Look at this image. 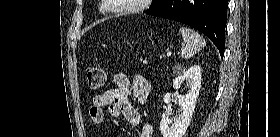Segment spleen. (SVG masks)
<instances>
[{"instance_id": "3e777b00", "label": "spleen", "mask_w": 280, "mask_h": 137, "mask_svg": "<svg viewBox=\"0 0 280 137\" xmlns=\"http://www.w3.org/2000/svg\"><path fill=\"white\" fill-rule=\"evenodd\" d=\"M179 31L184 40V45L181 48L182 58L188 59L192 57L206 45L204 38L194 30L187 27H180Z\"/></svg>"}]
</instances>
